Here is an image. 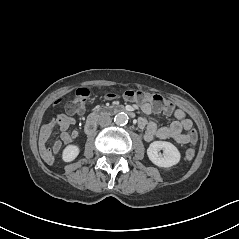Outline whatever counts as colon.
Returning a JSON list of instances; mask_svg holds the SVG:
<instances>
[{"mask_svg": "<svg viewBox=\"0 0 239 239\" xmlns=\"http://www.w3.org/2000/svg\"><path fill=\"white\" fill-rule=\"evenodd\" d=\"M90 95L91 92L88 88L82 87L77 89L73 97V100L67 105V112L70 114H77L82 112L88 104ZM108 96L114 97V94H108ZM124 96L131 101L139 103L149 102L155 109L159 111H173L174 109L173 104L159 94L147 93L137 90H129L125 92ZM196 139H197L196 133L195 131H192L190 139L191 145L195 144ZM194 155H195L194 148L190 147L186 151L185 159L187 161H191L194 158Z\"/></svg>", "mask_w": 239, "mask_h": 239, "instance_id": "1", "label": "colon"}]
</instances>
